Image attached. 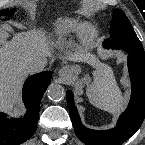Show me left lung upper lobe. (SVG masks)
<instances>
[{"label": "left lung upper lobe", "instance_id": "left-lung-upper-lobe-1", "mask_svg": "<svg viewBox=\"0 0 145 145\" xmlns=\"http://www.w3.org/2000/svg\"><path fill=\"white\" fill-rule=\"evenodd\" d=\"M113 18L111 40H107V44L110 47L132 50L138 55H144L142 44L126 15L120 9H117L113 11Z\"/></svg>", "mask_w": 145, "mask_h": 145}]
</instances>
